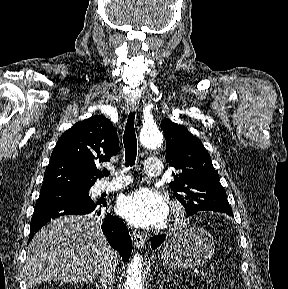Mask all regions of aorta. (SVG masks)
I'll return each instance as SVG.
<instances>
[{"instance_id": "aorta-1", "label": "aorta", "mask_w": 288, "mask_h": 289, "mask_svg": "<svg viewBox=\"0 0 288 289\" xmlns=\"http://www.w3.org/2000/svg\"><path fill=\"white\" fill-rule=\"evenodd\" d=\"M140 141L143 146L156 149L161 146L163 138L156 126H150L141 131ZM142 266V256L135 254L128 264L126 289H143Z\"/></svg>"}]
</instances>
